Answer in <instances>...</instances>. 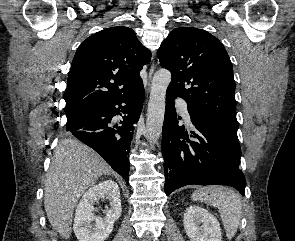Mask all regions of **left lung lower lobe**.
Returning <instances> with one entry per match:
<instances>
[{"mask_svg":"<svg viewBox=\"0 0 295 241\" xmlns=\"http://www.w3.org/2000/svg\"><path fill=\"white\" fill-rule=\"evenodd\" d=\"M175 95L166 94V110L162 128L165 193L185 185L222 184L245 195V177L239 169L241 150L237 130L208 118L193 115L194 141L188 139L184 126L178 125L174 106Z\"/></svg>","mask_w":295,"mask_h":241,"instance_id":"1","label":"left lung lower lobe"}]
</instances>
